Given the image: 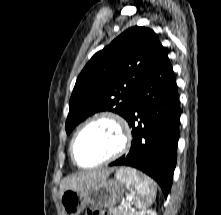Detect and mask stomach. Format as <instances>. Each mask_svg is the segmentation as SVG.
Masks as SVG:
<instances>
[{"label":"stomach","mask_w":221,"mask_h":215,"mask_svg":"<svg viewBox=\"0 0 221 215\" xmlns=\"http://www.w3.org/2000/svg\"><path fill=\"white\" fill-rule=\"evenodd\" d=\"M127 170L132 169H122L121 171L125 173ZM135 172L138 177L142 178L144 176L140 172ZM126 187L121 178H116L100 180L84 190H65L60 196L64 215H80L88 205L111 210L123 195Z\"/></svg>","instance_id":"obj_1"}]
</instances>
